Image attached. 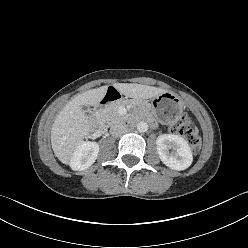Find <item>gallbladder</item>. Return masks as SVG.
Here are the masks:
<instances>
[{
	"label": "gallbladder",
	"instance_id": "obj_1",
	"mask_svg": "<svg viewBox=\"0 0 248 248\" xmlns=\"http://www.w3.org/2000/svg\"><path fill=\"white\" fill-rule=\"evenodd\" d=\"M83 109H84L86 112H88V111H89V109H87L86 107H83Z\"/></svg>",
	"mask_w": 248,
	"mask_h": 248
}]
</instances>
